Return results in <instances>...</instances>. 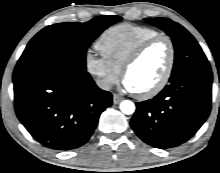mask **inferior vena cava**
<instances>
[{
    "label": "inferior vena cava",
    "instance_id": "obj_1",
    "mask_svg": "<svg viewBox=\"0 0 220 173\" xmlns=\"http://www.w3.org/2000/svg\"><path fill=\"white\" fill-rule=\"evenodd\" d=\"M99 88L109 91L112 88V83L106 79H98L96 81Z\"/></svg>",
    "mask_w": 220,
    "mask_h": 173
}]
</instances>
